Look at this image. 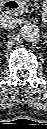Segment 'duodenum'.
I'll use <instances>...</instances> for the list:
<instances>
[{"mask_svg": "<svg viewBox=\"0 0 47 129\" xmlns=\"http://www.w3.org/2000/svg\"><path fill=\"white\" fill-rule=\"evenodd\" d=\"M11 3V2H8V4ZM6 7V11H9V7H7V5L5 6Z\"/></svg>", "mask_w": 47, "mask_h": 129, "instance_id": "410a0bca", "label": "duodenum"}]
</instances>
